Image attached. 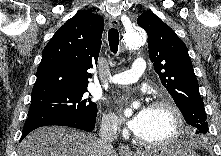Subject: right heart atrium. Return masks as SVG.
Returning a JSON list of instances; mask_svg holds the SVG:
<instances>
[{
	"label": "right heart atrium",
	"mask_w": 221,
	"mask_h": 156,
	"mask_svg": "<svg viewBox=\"0 0 221 156\" xmlns=\"http://www.w3.org/2000/svg\"><path fill=\"white\" fill-rule=\"evenodd\" d=\"M101 129L106 134H116L120 129L117 118L112 114H104L101 120Z\"/></svg>",
	"instance_id": "1"
}]
</instances>
